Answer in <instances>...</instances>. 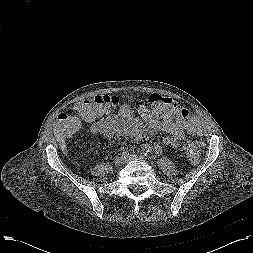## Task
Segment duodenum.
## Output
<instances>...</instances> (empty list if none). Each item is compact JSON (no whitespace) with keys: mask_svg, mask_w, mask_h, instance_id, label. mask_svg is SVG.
I'll return each mask as SVG.
<instances>
[{"mask_svg":"<svg viewBox=\"0 0 253 253\" xmlns=\"http://www.w3.org/2000/svg\"><path fill=\"white\" fill-rule=\"evenodd\" d=\"M116 123H113L111 121H107V122H104L103 123V129H99L100 133H103V132H109L111 130H113L115 127H116Z\"/></svg>","mask_w":253,"mask_h":253,"instance_id":"1","label":"duodenum"}]
</instances>
